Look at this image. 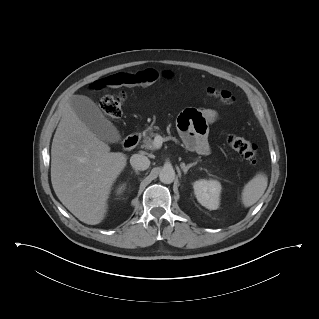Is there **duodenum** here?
Masks as SVG:
<instances>
[{"mask_svg": "<svg viewBox=\"0 0 319 319\" xmlns=\"http://www.w3.org/2000/svg\"><path fill=\"white\" fill-rule=\"evenodd\" d=\"M138 141H139V135L137 133H133L126 137V139L123 141L122 146L125 150H131L135 148Z\"/></svg>", "mask_w": 319, "mask_h": 319, "instance_id": "duodenum-1", "label": "duodenum"}]
</instances>
